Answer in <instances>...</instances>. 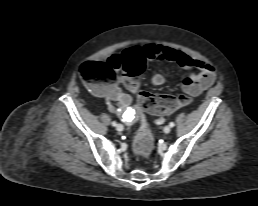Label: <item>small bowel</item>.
I'll list each match as a JSON object with an SVG mask.
<instances>
[{
	"label": "small bowel",
	"mask_w": 258,
	"mask_h": 206,
	"mask_svg": "<svg viewBox=\"0 0 258 206\" xmlns=\"http://www.w3.org/2000/svg\"><path fill=\"white\" fill-rule=\"evenodd\" d=\"M140 53L147 60L168 61L178 64L184 69H195L197 72L192 73L182 81V90L190 96H198L203 91L211 87L216 80V71L213 65L194 59L186 53L173 49L161 44H146L142 47H132L120 54H114L108 59V63L119 69L125 61L132 55ZM165 82L162 74H154L151 83L154 86H161ZM99 93L107 101L108 108L111 112L117 114L128 124H131L138 116L135 110L130 109L131 98L116 85H108L99 88ZM164 119L159 117L157 124L163 123Z\"/></svg>",
	"instance_id": "small-bowel-1"
}]
</instances>
